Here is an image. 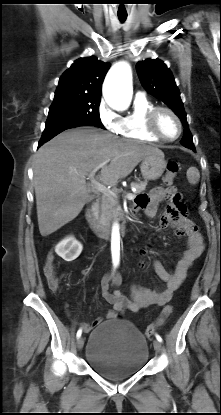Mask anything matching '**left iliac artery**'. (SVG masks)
<instances>
[{
	"mask_svg": "<svg viewBox=\"0 0 221 415\" xmlns=\"http://www.w3.org/2000/svg\"><path fill=\"white\" fill-rule=\"evenodd\" d=\"M155 336H156V339H157L158 341L162 342V338H161V336H160V335L155 334Z\"/></svg>",
	"mask_w": 221,
	"mask_h": 415,
	"instance_id": "1",
	"label": "left iliac artery"
}]
</instances>
